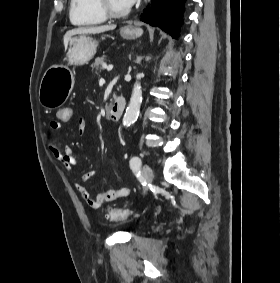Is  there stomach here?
Wrapping results in <instances>:
<instances>
[{
	"instance_id": "obj_1",
	"label": "stomach",
	"mask_w": 280,
	"mask_h": 283,
	"mask_svg": "<svg viewBox=\"0 0 280 283\" xmlns=\"http://www.w3.org/2000/svg\"><path fill=\"white\" fill-rule=\"evenodd\" d=\"M120 34L125 39H136L143 34V30L127 25L121 28ZM97 47L98 41L91 37H73L69 40L64 60L68 65L87 64L95 55ZM68 65H52L44 73L39 87V102L44 108L60 107L68 99L74 87V73Z\"/></svg>"
}]
</instances>
